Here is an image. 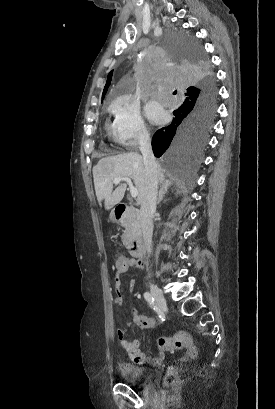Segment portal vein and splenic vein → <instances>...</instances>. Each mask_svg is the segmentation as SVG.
Instances as JSON below:
<instances>
[{"label":"portal vein and splenic vein","mask_w":275,"mask_h":409,"mask_svg":"<svg viewBox=\"0 0 275 409\" xmlns=\"http://www.w3.org/2000/svg\"><path fill=\"white\" fill-rule=\"evenodd\" d=\"M120 180H126L127 184H129L131 196H133V198L138 196V188L133 186L131 178H128V176H116V178H113L114 184H119Z\"/></svg>","instance_id":"portal-vein-and-splenic-vein-1"}]
</instances>
